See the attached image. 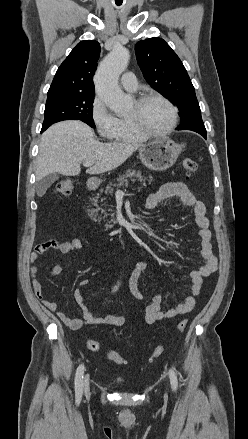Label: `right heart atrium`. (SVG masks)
<instances>
[{"instance_id":"1","label":"right heart atrium","mask_w":248,"mask_h":439,"mask_svg":"<svg viewBox=\"0 0 248 439\" xmlns=\"http://www.w3.org/2000/svg\"><path fill=\"white\" fill-rule=\"evenodd\" d=\"M91 118L99 135L105 139H111L117 126L118 118L108 109L105 101L96 96L91 105Z\"/></svg>"}]
</instances>
